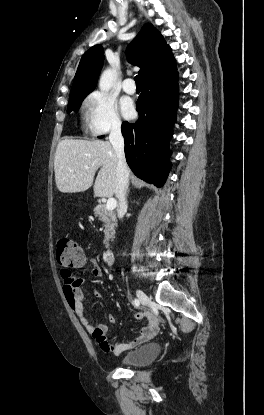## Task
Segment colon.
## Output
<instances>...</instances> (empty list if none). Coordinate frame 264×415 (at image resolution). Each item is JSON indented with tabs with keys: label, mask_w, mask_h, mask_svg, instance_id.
<instances>
[{
	"label": "colon",
	"mask_w": 264,
	"mask_h": 415,
	"mask_svg": "<svg viewBox=\"0 0 264 415\" xmlns=\"http://www.w3.org/2000/svg\"><path fill=\"white\" fill-rule=\"evenodd\" d=\"M57 262L66 270L83 264L86 260L85 254L80 246L69 237H61L57 245ZM67 298L71 300L68 294Z\"/></svg>",
	"instance_id": "obj_1"
}]
</instances>
